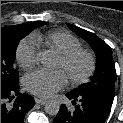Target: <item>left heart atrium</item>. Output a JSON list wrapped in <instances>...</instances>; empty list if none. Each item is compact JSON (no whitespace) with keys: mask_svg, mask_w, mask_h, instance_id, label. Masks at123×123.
Returning a JSON list of instances; mask_svg holds the SVG:
<instances>
[{"mask_svg":"<svg viewBox=\"0 0 123 123\" xmlns=\"http://www.w3.org/2000/svg\"><path fill=\"white\" fill-rule=\"evenodd\" d=\"M67 83L63 70H36L28 74L24 84L28 92L38 97L47 98L62 89Z\"/></svg>","mask_w":123,"mask_h":123,"instance_id":"39dd6f15","label":"left heart atrium"}]
</instances>
